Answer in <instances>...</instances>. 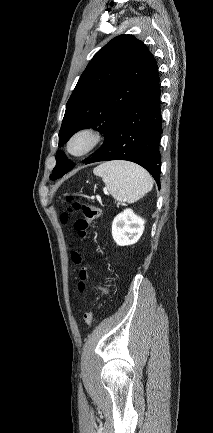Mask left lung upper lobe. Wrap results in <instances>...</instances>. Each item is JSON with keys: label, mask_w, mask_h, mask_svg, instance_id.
I'll return each mask as SVG.
<instances>
[{"label": "left lung upper lobe", "mask_w": 213, "mask_h": 433, "mask_svg": "<svg viewBox=\"0 0 213 433\" xmlns=\"http://www.w3.org/2000/svg\"><path fill=\"white\" fill-rule=\"evenodd\" d=\"M155 66L153 55L133 35H120L108 42L89 62L66 104L59 146L85 128L104 133L106 140L114 123ZM73 167L74 164L59 151L50 178H60Z\"/></svg>", "instance_id": "5c2ea615"}]
</instances>
